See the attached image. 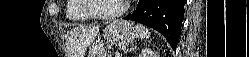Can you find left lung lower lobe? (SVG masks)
Instances as JSON below:
<instances>
[{
    "instance_id": "obj_1",
    "label": "left lung lower lobe",
    "mask_w": 249,
    "mask_h": 57,
    "mask_svg": "<svg viewBox=\"0 0 249 57\" xmlns=\"http://www.w3.org/2000/svg\"><path fill=\"white\" fill-rule=\"evenodd\" d=\"M187 0H139L136 10L124 19L150 26L160 32L175 50L181 34Z\"/></svg>"
}]
</instances>
